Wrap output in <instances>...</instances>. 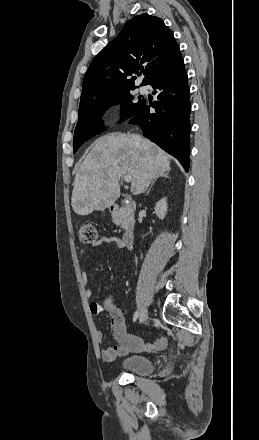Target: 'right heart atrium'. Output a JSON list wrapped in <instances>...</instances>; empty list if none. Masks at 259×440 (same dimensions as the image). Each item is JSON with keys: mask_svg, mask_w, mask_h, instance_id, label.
I'll list each match as a JSON object with an SVG mask.
<instances>
[{"mask_svg": "<svg viewBox=\"0 0 259 440\" xmlns=\"http://www.w3.org/2000/svg\"><path fill=\"white\" fill-rule=\"evenodd\" d=\"M114 110L117 112V111H119V106H116L115 108H114Z\"/></svg>", "mask_w": 259, "mask_h": 440, "instance_id": "1", "label": "right heart atrium"}]
</instances>
